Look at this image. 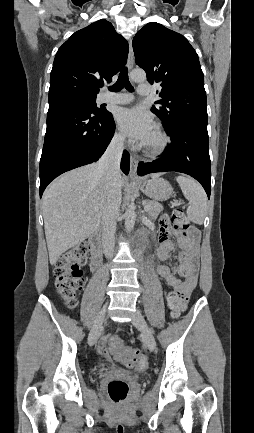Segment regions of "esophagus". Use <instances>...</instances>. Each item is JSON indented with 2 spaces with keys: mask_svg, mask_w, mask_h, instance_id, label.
Segmentation results:
<instances>
[{
  "mask_svg": "<svg viewBox=\"0 0 254 433\" xmlns=\"http://www.w3.org/2000/svg\"><path fill=\"white\" fill-rule=\"evenodd\" d=\"M134 66V53L132 48V41L129 43V54H128V68L131 70ZM137 166L138 160L134 155L130 156V177L137 178Z\"/></svg>",
  "mask_w": 254,
  "mask_h": 433,
  "instance_id": "34e87169",
  "label": "esophagus"
}]
</instances>
